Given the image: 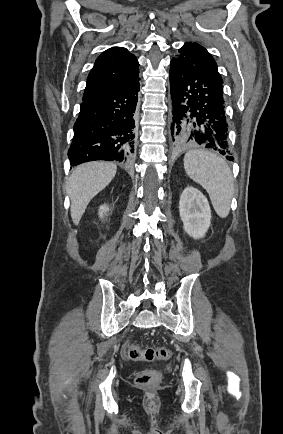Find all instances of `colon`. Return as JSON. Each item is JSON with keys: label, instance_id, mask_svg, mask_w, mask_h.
Segmentation results:
<instances>
[{"label": "colon", "instance_id": "1", "mask_svg": "<svg viewBox=\"0 0 283 434\" xmlns=\"http://www.w3.org/2000/svg\"><path fill=\"white\" fill-rule=\"evenodd\" d=\"M127 356L131 360H168L172 356L171 349L167 347H148L140 348L132 343L127 348ZM162 379V374L157 369L145 368L136 377V383L142 386H150L157 384Z\"/></svg>", "mask_w": 283, "mask_h": 434}]
</instances>
